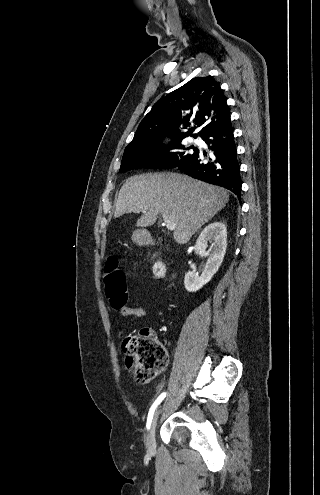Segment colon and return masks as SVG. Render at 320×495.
Wrapping results in <instances>:
<instances>
[{
	"label": "colon",
	"mask_w": 320,
	"mask_h": 495,
	"mask_svg": "<svg viewBox=\"0 0 320 495\" xmlns=\"http://www.w3.org/2000/svg\"><path fill=\"white\" fill-rule=\"evenodd\" d=\"M167 266L162 262L154 265V273L161 278L165 275ZM105 294L118 311L125 308L128 296L126 276L116 257H109L103 273ZM122 349L126 353V363L134 361V380L145 384L150 382L167 363L165 347L150 338L148 329H142L139 334L125 337L122 340Z\"/></svg>",
	"instance_id": "colon-1"
}]
</instances>
